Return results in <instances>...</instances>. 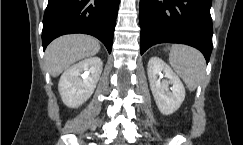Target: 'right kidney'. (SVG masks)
I'll use <instances>...</instances> for the list:
<instances>
[{
	"instance_id": "right-kidney-1",
	"label": "right kidney",
	"mask_w": 243,
	"mask_h": 145,
	"mask_svg": "<svg viewBox=\"0 0 243 145\" xmlns=\"http://www.w3.org/2000/svg\"><path fill=\"white\" fill-rule=\"evenodd\" d=\"M102 68L99 57H90L65 70L58 84L63 103L70 108L85 103L96 88Z\"/></svg>"
}]
</instances>
